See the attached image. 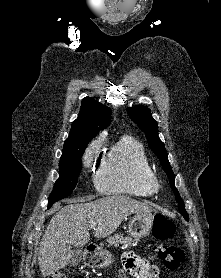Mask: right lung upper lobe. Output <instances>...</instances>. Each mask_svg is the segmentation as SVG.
Instances as JSON below:
<instances>
[{
    "instance_id": "1",
    "label": "right lung upper lobe",
    "mask_w": 221,
    "mask_h": 278,
    "mask_svg": "<svg viewBox=\"0 0 221 278\" xmlns=\"http://www.w3.org/2000/svg\"><path fill=\"white\" fill-rule=\"evenodd\" d=\"M110 121V108L93 98H84L81 103L79 117L73 122L69 137L64 142L63 151L66 152L89 143L100 130L107 128Z\"/></svg>"
}]
</instances>
